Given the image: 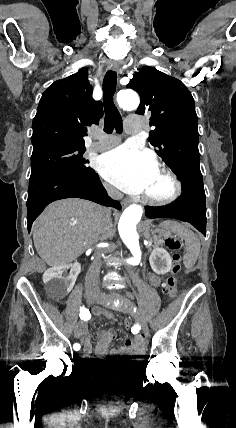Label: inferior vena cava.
<instances>
[{
    "mask_svg": "<svg viewBox=\"0 0 236 428\" xmlns=\"http://www.w3.org/2000/svg\"><path fill=\"white\" fill-rule=\"evenodd\" d=\"M107 190H108V194L109 196H112V198H114V196H116V192L114 190V188H111V186H106ZM103 214L105 216V224L106 225H111L112 221H113V216L111 215L110 210H103ZM106 249H102V248H98L95 249V252L93 253L94 256V261L93 264L88 268V272L85 274L86 278H85V283H84V287L86 288L85 296L88 298H96L99 293H101V290L99 289L98 285V277H99V271H100V260L102 258V256L105 254Z\"/></svg>",
    "mask_w": 236,
    "mask_h": 428,
    "instance_id": "inferior-vena-cava-1",
    "label": "inferior vena cava"
}]
</instances>
